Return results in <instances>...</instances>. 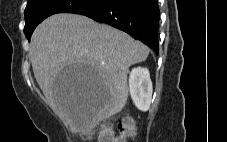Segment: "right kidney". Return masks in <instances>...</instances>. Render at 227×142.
<instances>
[{
	"instance_id": "ca27d5eb",
	"label": "right kidney",
	"mask_w": 227,
	"mask_h": 142,
	"mask_svg": "<svg viewBox=\"0 0 227 142\" xmlns=\"http://www.w3.org/2000/svg\"><path fill=\"white\" fill-rule=\"evenodd\" d=\"M129 90L135 106L141 111H147L152 99V82L147 68L132 69L129 76Z\"/></svg>"
}]
</instances>
